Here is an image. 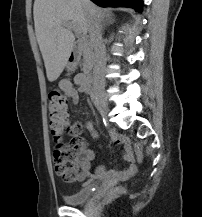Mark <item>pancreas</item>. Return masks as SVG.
<instances>
[{
	"label": "pancreas",
	"instance_id": "1",
	"mask_svg": "<svg viewBox=\"0 0 202 217\" xmlns=\"http://www.w3.org/2000/svg\"><path fill=\"white\" fill-rule=\"evenodd\" d=\"M79 46L83 51V58H84L83 66H84V68H90L91 67V58H92V51H91L90 42L86 38H82L79 41Z\"/></svg>",
	"mask_w": 202,
	"mask_h": 217
}]
</instances>
